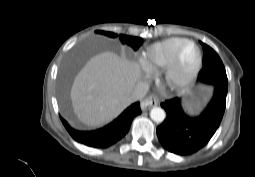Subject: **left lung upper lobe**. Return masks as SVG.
Returning <instances> with one entry per match:
<instances>
[{
	"label": "left lung upper lobe",
	"instance_id": "left-lung-upper-lobe-1",
	"mask_svg": "<svg viewBox=\"0 0 255 177\" xmlns=\"http://www.w3.org/2000/svg\"><path fill=\"white\" fill-rule=\"evenodd\" d=\"M203 45V68L199 79L203 82L228 83L225 67L217 53L208 45Z\"/></svg>",
	"mask_w": 255,
	"mask_h": 177
}]
</instances>
